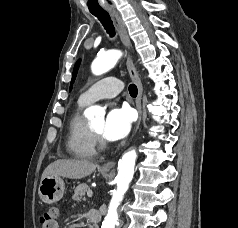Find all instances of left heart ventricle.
I'll return each instance as SVG.
<instances>
[{
	"label": "left heart ventricle",
	"mask_w": 238,
	"mask_h": 228,
	"mask_svg": "<svg viewBox=\"0 0 238 228\" xmlns=\"http://www.w3.org/2000/svg\"><path fill=\"white\" fill-rule=\"evenodd\" d=\"M103 125H104V121L102 119V120L95 122L92 125V128L102 135L103 134Z\"/></svg>",
	"instance_id": "left-heart-ventricle-1"
}]
</instances>
